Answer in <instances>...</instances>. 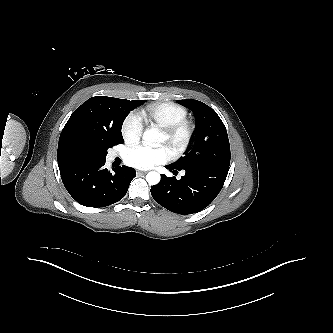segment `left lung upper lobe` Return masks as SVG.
Wrapping results in <instances>:
<instances>
[{
	"label": "left lung upper lobe",
	"mask_w": 333,
	"mask_h": 333,
	"mask_svg": "<svg viewBox=\"0 0 333 333\" xmlns=\"http://www.w3.org/2000/svg\"><path fill=\"white\" fill-rule=\"evenodd\" d=\"M196 117L197 134L189 152L171 164L177 169H187L204 164L223 167L230 165V145L226 128L218 114L198 100H178Z\"/></svg>",
	"instance_id": "obj_1"
}]
</instances>
